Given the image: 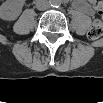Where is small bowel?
Listing matches in <instances>:
<instances>
[{"instance_id":"1","label":"small bowel","mask_w":103,"mask_h":103,"mask_svg":"<svg viewBox=\"0 0 103 103\" xmlns=\"http://www.w3.org/2000/svg\"><path fill=\"white\" fill-rule=\"evenodd\" d=\"M77 7L85 14L89 15V16H92L94 15L95 11H94V8H93V4L92 3H89V2H86V1H82L81 3H79L77 5Z\"/></svg>"}]
</instances>
